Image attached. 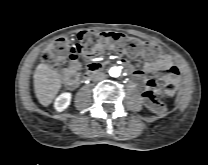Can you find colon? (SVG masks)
I'll return each mask as SVG.
<instances>
[{
	"instance_id": "colon-1",
	"label": "colon",
	"mask_w": 208,
	"mask_h": 165,
	"mask_svg": "<svg viewBox=\"0 0 208 165\" xmlns=\"http://www.w3.org/2000/svg\"><path fill=\"white\" fill-rule=\"evenodd\" d=\"M113 46L119 53L137 56L139 54L156 56L160 49L157 45L144 42L117 32L83 31L78 36L77 43L69 45L64 39L52 42L43 52L42 60L49 66H58L66 60L75 61L79 57H92L103 51L106 46ZM175 92V85L168 83L161 95L171 96ZM155 111H162L163 105L156 98L150 101Z\"/></svg>"
}]
</instances>
